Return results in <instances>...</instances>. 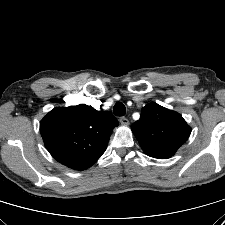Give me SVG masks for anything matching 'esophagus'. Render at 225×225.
<instances>
[{
    "instance_id": "34e87169",
    "label": "esophagus",
    "mask_w": 225,
    "mask_h": 225,
    "mask_svg": "<svg viewBox=\"0 0 225 225\" xmlns=\"http://www.w3.org/2000/svg\"><path fill=\"white\" fill-rule=\"evenodd\" d=\"M119 121L122 125H125V126L129 125V120L126 117H121Z\"/></svg>"
}]
</instances>
